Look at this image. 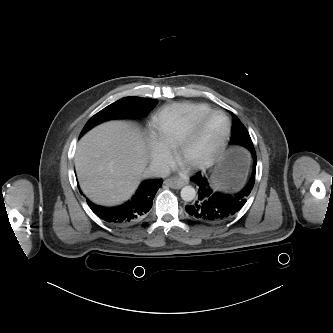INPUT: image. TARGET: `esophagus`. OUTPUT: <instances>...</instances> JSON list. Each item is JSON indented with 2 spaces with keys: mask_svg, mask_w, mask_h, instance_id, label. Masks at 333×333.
I'll use <instances>...</instances> for the list:
<instances>
[{
  "mask_svg": "<svg viewBox=\"0 0 333 333\" xmlns=\"http://www.w3.org/2000/svg\"><path fill=\"white\" fill-rule=\"evenodd\" d=\"M164 183L173 189H180L185 184H187L186 181L181 180V179H167Z\"/></svg>",
  "mask_w": 333,
  "mask_h": 333,
  "instance_id": "obj_1",
  "label": "esophagus"
}]
</instances>
